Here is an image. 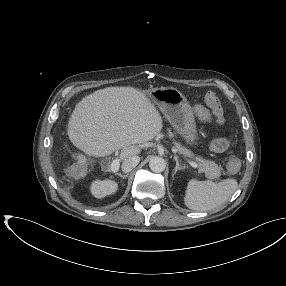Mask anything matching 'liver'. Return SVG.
Wrapping results in <instances>:
<instances>
[{"label": "liver", "instance_id": "6515ba94", "mask_svg": "<svg viewBox=\"0 0 286 286\" xmlns=\"http://www.w3.org/2000/svg\"><path fill=\"white\" fill-rule=\"evenodd\" d=\"M162 128V118L145 92L116 86L82 98L68 120L67 135L88 156H75L83 168L93 165L90 156L105 157L119 149L120 159L140 154L137 144L151 141Z\"/></svg>", "mask_w": 286, "mask_h": 286}]
</instances>
